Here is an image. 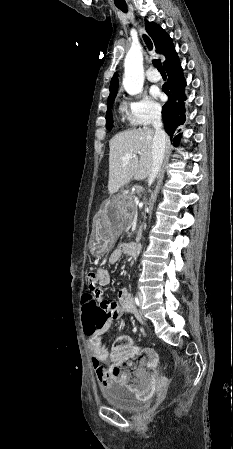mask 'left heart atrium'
Masks as SVG:
<instances>
[{
	"label": "left heart atrium",
	"instance_id": "39dd6f15",
	"mask_svg": "<svg viewBox=\"0 0 233 449\" xmlns=\"http://www.w3.org/2000/svg\"><path fill=\"white\" fill-rule=\"evenodd\" d=\"M151 93H152V95L155 96V97H159V96H160V92H159V90H158L157 88H153V89L151 90Z\"/></svg>",
	"mask_w": 233,
	"mask_h": 449
}]
</instances>
